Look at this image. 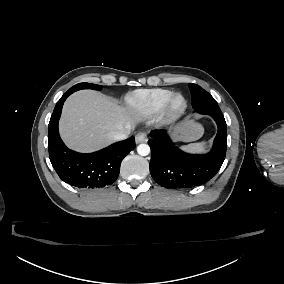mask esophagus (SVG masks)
Returning a JSON list of instances; mask_svg holds the SVG:
<instances>
[{"label": "esophagus", "instance_id": "1", "mask_svg": "<svg viewBox=\"0 0 284 284\" xmlns=\"http://www.w3.org/2000/svg\"><path fill=\"white\" fill-rule=\"evenodd\" d=\"M136 143H141L147 140V134L140 132L135 136Z\"/></svg>", "mask_w": 284, "mask_h": 284}]
</instances>
